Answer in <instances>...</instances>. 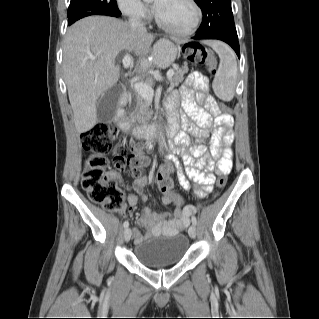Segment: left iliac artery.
<instances>
[{"mask_svg": "<svg viewBox=\"0 0 319 319\" xmlns=\"http://www.w3.org/2000/svg\"><path fill=\"white\" fill-rule=\"evenodd\" d=\"M192 224L196 225L197 224V219L195 216H192Z\"/></svg>", "mask_w": 319, "mask_h": 319, "instance_id": "left-iliac-artery-1", "label": "left iliac artery"}]
</instances>
